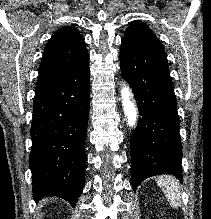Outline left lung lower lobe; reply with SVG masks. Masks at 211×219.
I'll return each mask as SVG.
<instances>
[{"label":"left lung lower lobe","instance_id":"obj_1","mask_svg":"<svg viewBox=\"0 0 211 219\" xmlns=\"http://www.w3.org/2000/svg\"><path fill=\"white\" fill-rule=\"evenodd\" d=\"M120 68L141 116L130 143L133 190L154 175L173 174L181 181L180 122L164 48L122 39Z\"/></svg>","mask_w":211,"mask_h":219}]
</instances>
